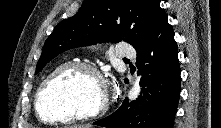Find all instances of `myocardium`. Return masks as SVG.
<instances>
[{"label":"myocardium","instance_id":"obj_1","mask_svg":"<svg viewBox=\"0 0 221 128\" xmlns=\"http://www.w3.org/2000/svg\"><path fill=\"white\" fill-rule=\"evenodd\" d=\"M75 70L86 71L92 74L96 78V80L98 81L102 89V99H101L100 104L94 109H87L76 115H68L65 117L46 116L43 113L42 108H41L43 95L46 89L53 81L65 75H68L69 73ZM108 105H109V98H108L107 88H106L104 79L102 75L100 74V72L98 71V69L89 63L81 62V61H74V62H69L61 66L59 69L49 74L40 84L36 93V97H35V114L40 121L45 122V123H70V122H76V121H81L85 119H94V118L100 117L107 111Z\"/></svg>","mask_w":221,"mask_h":128}]
</instances>
